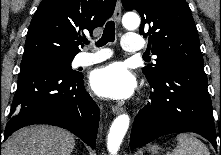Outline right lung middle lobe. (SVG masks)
I'll return each mask as SVG.
<instances>
[{"mask_svg": "<svg viewBox=\"0 0 221 155\" xmlns=\"http://www.w3.org/2000/svg\"><path fill=\"white\" fill-rule=\"evenodd\" d=\"M36 59L49 60L51 62H54L62 66L68 73H76L71 69V62L73 60V57H63L55 54H41V55L23 57L22 61L36 60Z\"/></svg>", "mask_w": 221, "mask_h": 155, "instance_id": "1", "label": "right lung middle lobe"}]
</instances>
